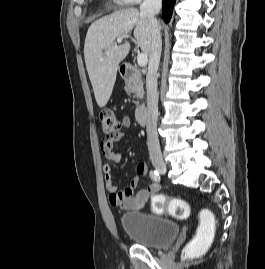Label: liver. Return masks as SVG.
Here are the masks:
<instances>
[{"mask_svg":"<svg viewBox=\"0 0 265 269\" xmlns=\"http://www.w3.org/2000/svg\"><path fill=\"white\" fill-rule=\"evenodd\" d=\"M132 31L138 47L143 53L150 55V24L135 8L122 9L102 17L94 21L87 31L84 58L100 108L107 104L115 84L119 63L130 51L129 42L116 45L115 40L127 37Z\"/></svg>","mask_w":265,"mask_h":269,"instance_id":"obj_1","label":"liver"}]
</instances>
